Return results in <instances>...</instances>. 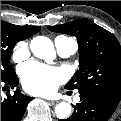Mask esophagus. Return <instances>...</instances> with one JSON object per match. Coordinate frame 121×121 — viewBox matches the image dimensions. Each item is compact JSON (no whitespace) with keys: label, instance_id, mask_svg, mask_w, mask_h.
Instances as JSON below:
<instances>
[{"label":"esophagus","instance_id":"1","mask_svg":"<svg viewBox=\"0 0 121 121\" xmlns=\"http://www.w3.org/2000/svg\"><path fill=\"white\" fill-rule=\"evenodd\" d=\"M48 103H49L50 105H54V104H56L57 102H56V101H48Z\"/></svg>","mask_w":121,"mask_h":121}]
</instances>
